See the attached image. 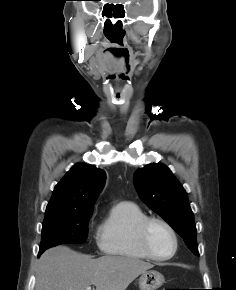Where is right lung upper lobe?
I'll return each mask as SVG.
<instances>
[{"mask_svg": "<svg viewBox=\"0 0 236 290\" xmlns=\"http://www.w3.org/2000/svg\"><path fill=\"white\" fill-rule=\"evenodd\" d=\"M105 179L104 170L85 163L75 164L56 185L46 213L93 211Z\"/></svg>", "mask_w": 236, "mask_h": 290, "instance_id": "1", "label": "right lung upper lobe"}]
</instances>
